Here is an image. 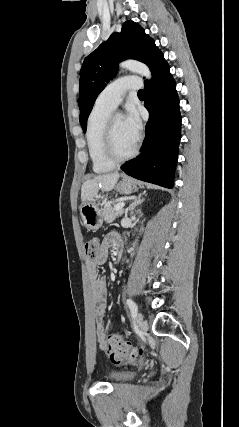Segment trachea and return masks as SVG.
<instances>
[{
  "mask_svg": "<svg viewBox=\"0 0 239 427\" xmlns=\"http://www.w3.org/2000/svg\"><path fill=\"white\" fill-rule=\"evenodd\" d=\"M138 95H139V96L144 95V91H143V90H139V91H138Z\"/></svg>",
  "mask_w": 239,
  "mask_h": 427,
  "instance_id": "obj_1",
  "label": "trachea"
}]
</instances>
